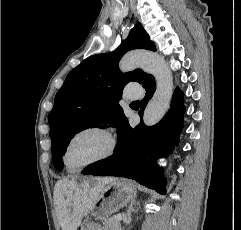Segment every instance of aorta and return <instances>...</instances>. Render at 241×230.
Listing matches in <instances>:
<instances>
[{
  "instance_id": "1",
  "label": "aorta",
  "mask_w": 241,
  "mask_h": 230,
  "mask_svg": "<svg viewBox=\"0 0 241 230\" xmlns=\"http://www.w3.org/2000/svg\"><path fill=\"white\" fill-rule=\"evenodd\" d=\"M139 66L152 74L157 82L156 91L143 115L144 124L153 126L162 119L170 106L173 76L164 58L151 52L127 53L119 63V68L123 73L132 71Z\"/></svg>"
}]
</instances>
